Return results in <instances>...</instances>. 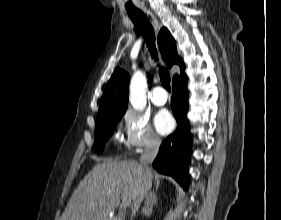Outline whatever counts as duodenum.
Here are the masks:
<instances>
[{
	"label": "duodenum",
	"mask_w": 281,
	"mask_h": 220,
	"mask_svg": "<svg viewBox=\"0 0 281 220\" xmlns=\"http://www.w3.org/2000/svg\"><path fill=\"white\" fill-rule=\"evenodd\" d=\"M113 220H121V219H118V218H114Z\"/></svg>",
	"instance_id": "410a0bca"
}]
</instances>
